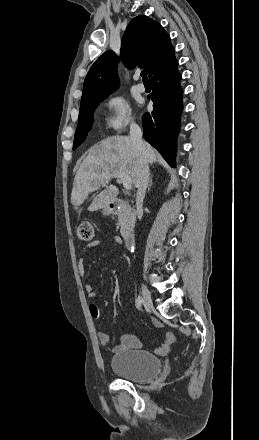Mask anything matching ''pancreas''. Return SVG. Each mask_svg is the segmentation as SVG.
<instances>
[{"label": "pancreas", "mask_w": 259, "mask_h": 440, "mask_svg": "<svg viewBox=\"0 0 259 440\" xmlns=\"http://www.w3.org/2000/svg\"><path fill=\"white\" fill-rule=\"evenodd\" d=\"M118 223L120 227V233L125 238L127 237L134 228L135 225V211L128 204H123L121 209L117 213Z\"/></svg>", "instance_id": "1"}]
</instances>
